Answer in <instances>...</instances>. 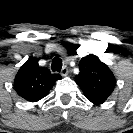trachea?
I'll return each mask as SVG.
<instances>
[{
	"label": "trachea",
	"mask_w": 133,
	"mask_h": 133,
	"mask_svg": "<svg viewBox=\"0 0 133 133\" xmlns=\"http://www.w3.org/2000/svg\"><path fill=\"white\" fill-rule=\"evenodd\" d=\"M51 69L53 72H60L62 69V60L59 57H55L52 60Z\"/></svg>",
	"instance_id": "trachea-1"
}]
</instances>
